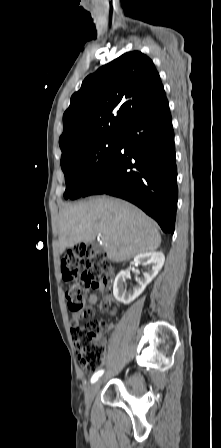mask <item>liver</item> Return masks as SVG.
Wrapping results in <instances>:
<instances>
[{
  "label": "liver",
  "mask_w": 221,
  "mask_h": 448,
  "mask_svg": "<svg viewBox=\"0 0 221 448\" xmlns=\"http://www.w3.org/2000/svg\"><path fill=\"white\" fill-rule=\"evenodd\" d=\"M101 235L109 260L128 261L159 248L155 223L134 205L110 197L65 207L59 216V252L78 243H91Z\"/></svg>",
  "instance_id": "6515ba94"
}]
</instances>
